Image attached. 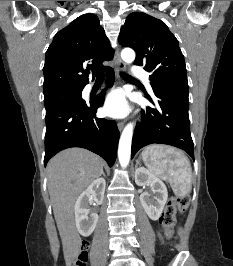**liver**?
Here are the masks:
<instances>
[{"label":"liver","instance_id":"1","mask_svg":"<svg viewBox=\"0 0 233 266\" xmlns=\"http://www.w3.org/2000/svg\"><path fill=\"white\" fill-rule=\"evenodd\" d=\"M102 171L101 159L82 148L61 151L47 165L48 190L65 257L79 242L74 221L76 199Z\"/></svg>","mask_w":233,"mask_h":266}]
</instances>
